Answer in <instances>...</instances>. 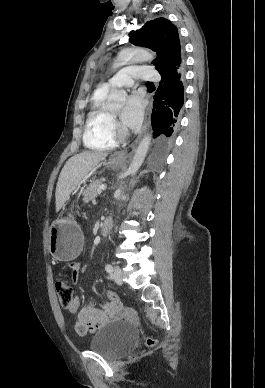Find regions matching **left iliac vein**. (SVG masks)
<instances>
[{
  "label": "left iliac vein",
  "instance_id": "1",
  "mask_svg": "<svg viewBox=\"0 0 265 388\" xmlns=\"http://www.w3.org/2000/svg\"><path fill=\"white\" fill-rule=\"evenodd\" d=\"M113 279L119 285L123 283L122 270L118 265L114 267Z\"/></svg>",
  "mask_w": 265,
  "mask_h": 388
}]
</instances>
